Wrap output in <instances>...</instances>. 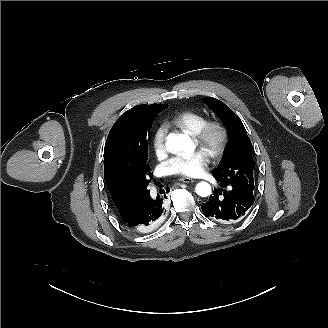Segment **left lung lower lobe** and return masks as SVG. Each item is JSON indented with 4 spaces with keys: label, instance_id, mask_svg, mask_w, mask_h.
Instances as JSON below:
<instances>
[{
    "label": "left lung lower lobe",
    "instance_id": "0a47b994",
    "mask_svg": "<svg viewBox=\"0 0 328 328\" xmlns=\"http://www.w3.org/2000/svg\"><path fill=\"white\" fill-rule=\"evenodd\" d=\"M215 189L209 201L203 203L201 208L206 217H211L218 222H231L241 218L254 203L253 192L238 185H226Z\"/></svg>",
    "mask_w": 328,
    "mask_h": 328
}]
</instances>
